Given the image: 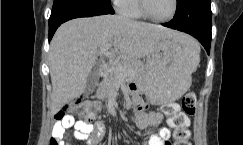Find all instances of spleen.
I'll return each mask as SVG.
<instances>
[{
    "label": "spleen",
    "mask_w": 243,
    "mask_h": 145,
    "mask_svg": "<svg viewBox=\"0 0 243 145\" xmlns=\"http://www.w3.org/2000/svg\"><path fill=\"white\" fill-rule=\"evenodd\" d=\"M200 57L199 55L197 56V64L199 63Z\"/></svg>",
    "instance_id": "obj_1"
}]
</instances>
